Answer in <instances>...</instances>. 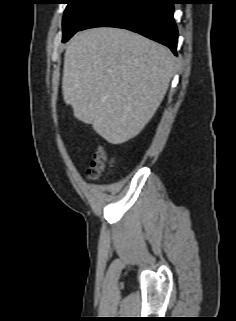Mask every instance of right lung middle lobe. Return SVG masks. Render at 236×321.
Segmentation results:
<instances>
[{"mask_svg":"<svg viewBox=\"0 0 236 321\" xmlns=\"http://www.w3.org/2000/svg\"><path fill=\"white\" fill-rule=\"evenodd\" d=\"M68 4L63 16V42L78 29L108 0H65Z\"/></svg>","mask_w":236,"mask_h":321,"instance_id":"dd1d6c3e","label":"right lung middle lobe"}]
</instances>
